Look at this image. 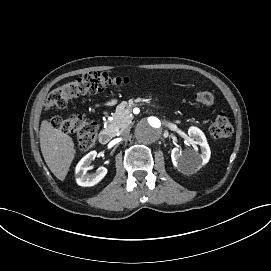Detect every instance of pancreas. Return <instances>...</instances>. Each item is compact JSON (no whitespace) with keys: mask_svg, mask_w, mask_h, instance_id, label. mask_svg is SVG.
<instances>
[{"mask_svg":"<svg viewBox=\"0 0 271 271\" xmlns=\"http://www.w3.org/2000/svg\"><path fill=\"white\" fill-rule=\"evenodd\" d=\"M152 102L155 103L156 99L153 97H142L140 98H135L134 102L135 103H140V102ZM127 103L122 102L119 106L116 108V112L113 114V120H108V127L113 128L116 131H119L120 129H124L128 127V125L131 123L132 118L129 116L130 114V108L127 107Z\"/></svg>","mask_w":271,"mask_h":271,"instance_id":"pancreas-1","label":"pancreas"}]
</instances>
